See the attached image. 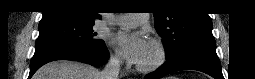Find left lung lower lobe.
<instances>
[{"label":"left lung lower lobe","instance_id":"left-lung-lower-lobe-1","mask_svg":"<svg viewBox=\"0 0 255 79\" xmlns=\"http://www.w3.org/2000/svg\"><path fill=\"white\" fill-rule=\"evenodd\" d=\"M180 70H198L215 79H223L216 44L210 42L193 44L178 56L168 59L157 71L146 75L145 79H159Z\"/></svg>","mask_w":255,"mask_h":79}]
</instances>
